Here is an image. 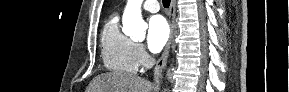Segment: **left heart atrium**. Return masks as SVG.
Wrapping results in <instances>:
<instances>
[{"label": "left heart atrium", "instance_id": "1", "mask_svg": "<svg viewBox=\"0 0 289 92\" xmlns=\"http://www.w3.org/2000/svg\"><path fill=\"white\" fill-rule=\"evenodd\" d=\"M169 38V26L161 15L152 16L147 28V47L153 52H159Z\"/></svg>", "mask_w": 289, "mask_h": 92}]
</instances>
